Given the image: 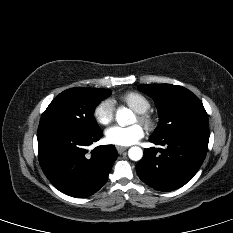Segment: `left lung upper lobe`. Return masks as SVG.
I'll return each mask as SVG.
<instances>
[{
    "instance_id": "obj_1",
    "label": "left lung upper lobe",
    "mask_w": 233,
    "mask_h": 233,
    "mask_svg": "<svg viewBox=\"0 0 233 233\" xmlns=\"http://www.w3.org/2000/svg\"><path fill=\"white\" fill-rule=\"evenodd\" d=\"M139 90L153 98L160 117L152 138L192 130H209L202 102L188 89L171 84L140 85Z\"/></svg>"
}]
</instances>
